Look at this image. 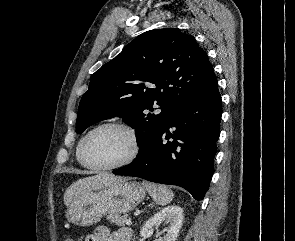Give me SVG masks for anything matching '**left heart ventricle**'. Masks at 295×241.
Segmentation results:
<instances>
[{
    "label": "left heart ventricle",
    "mask_w": 295,
    "mask_h": 241,
    "mask_svg": "<svg viewBox=\"0 0 295 241\" xmlns=\"http://www.w3.org/2000/svg\"><path fill=\"white\" fill-rule=\"evenodd\" d=\"M131 151L129 135L119 128L97 131L87 143L85 156L95 165H112L125 159Z\"/></svg>",
    "instance_id": "obj_1"
}]
</instances>
